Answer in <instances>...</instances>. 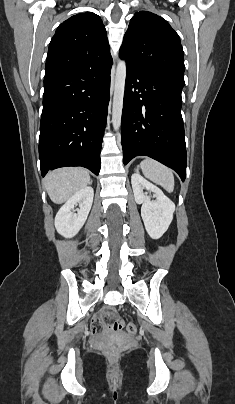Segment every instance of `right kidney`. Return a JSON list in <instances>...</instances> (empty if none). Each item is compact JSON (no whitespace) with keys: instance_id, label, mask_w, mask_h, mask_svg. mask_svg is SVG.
<instances>
[{"instance_id":"1","label":"right kidney","mask_w":235,"mask_h":404,"mask_svg":"<svg viewBox=\"0 0 235 404\" xmlns=\"http://www.w3.org/2000/svg\"><path fill=\"white\" fill-rule=\"evenodd\" d=\"M93 197V188L84 187L60 208L55 217V228L60 235L71 238L79 232L88 217ZM77 205L79 209L74 210Z\"/></svg>"}]
</instances>
